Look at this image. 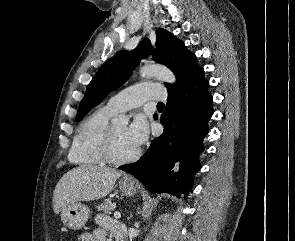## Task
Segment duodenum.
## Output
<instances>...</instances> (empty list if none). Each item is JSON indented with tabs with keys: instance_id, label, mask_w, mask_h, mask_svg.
Instances as JSON below:
<instances>
[{
	"instance_id": "1",
	"label": "duodenum",
	"mask_w": 295,
	"mask_h": 241,
	"mask_svg": "<svg viewBox=\"0 0 295 241\" xmlns=\"http://www.w3.org/2000/svg\"><path fill=\"white\" fill-rule=\"evenodd\" d=\"M118 241H123L122 236H120V237L118 238Z\"/></svg>"
}]
</instances>
